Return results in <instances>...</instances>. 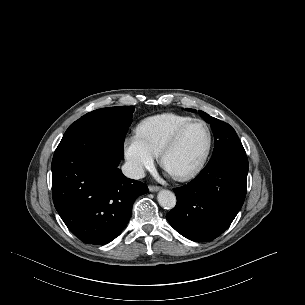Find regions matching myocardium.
Masks as SVG:
<instances>
[{"mask_svg":"<svg viewBox=\"0 0 305 305\" xmlns=\"http://www.w3.org/2000/svg\"><path fill=\"white\" fill-rule=\"evenodd\" d=\"M202 124L206 130H207V134H208V141H207V145L205 148V151L201 157V159L199 160V162L189 171L182 173V174H171L172 177L177 180V181H188L191 180L193 178H195L205 167L210 153H211V149H212V145H213V133L212 130L209 126V124L207 122H205L202 119H192L190 121H188L187 123L183 124L181 127H179L177 129V131L174 133V135L172 136V138L169 140V142L164 146V148L162 149L161 153H160V164L161 166L166 169V159L169 156V154L174 151V149L178 146L184 132L193 124Z\"/></svg>","mask_w":305,"mask_h":305,"instance_id":"myocardium-1","label":"myocardium"}]
</instances>
